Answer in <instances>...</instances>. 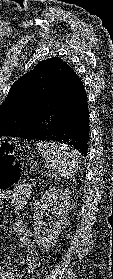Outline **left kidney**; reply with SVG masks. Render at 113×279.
I'll return each mask as SVG.
<instances>
[{
	"instance_id": "left-kidney-1",
	"label": "left kidney",
	"mask_w": 113,
	"mask_h": 279,
	"mask_svg": "<svg viewBox=\"0 0 113 279\" xmlns=\"http://www.w3.org/2000/svg\"><path fill=\"white\" fill-rule=\"evenodd\" d=\"M71 191L50 188L37 203L33 216V230L37 245L49 249L54 245L68 220ZM52 211L51 222L43 220L46 211ZM49 226V228H48Z\"/></svg>"
}]
</instances>
